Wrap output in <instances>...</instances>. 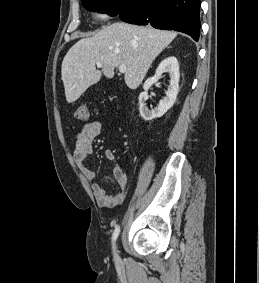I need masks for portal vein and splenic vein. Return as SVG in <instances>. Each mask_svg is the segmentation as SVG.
I'll return each mask as SVG.
<instances>
[{"instance_id": "1", "label": "portal vein and splenic vein", "mask_w": 259, "mask_h": 283, "mask_svg": "<svg viewBox=\"0 0 259 283\" xmlns=\"http://www.w3.org/2000/svg\"><path fill=\"white\" fill-rule=\"evenodd\" d=\"M97 67H102V63L100 61L96 62ZM127 70V67L125 65L119 66L120 73H125Z\"/></svg>"}]
</instances>
